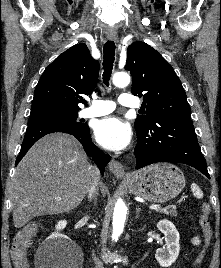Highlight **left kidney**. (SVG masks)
I'll return each mask as SVG.
<instances>
[{"label":"left kidney","instance_id":"5707ae66","mask_svg":"<svg viewBox=\"0 0 221 268\" xmlns=\"http://www.w3.org/2000/svg\"><path fill=\"white\" fill-rule=\"evenodd\" d=\"M164 234L165 247L156 250L155 258L161 267H170L177 259L180 251V235L175 225L166 219L157 224Z\"/></svg>","mask_w":221,"mask_h":268}]
</instances>
